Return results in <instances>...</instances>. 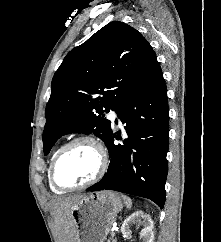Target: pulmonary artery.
<instances>
[{
	"instance_id": "1",
	"label": "pulmonary artery",
	"mask_w": 221,
	"mask_h": 242,
	"mask_svg": "<svg viewBox=\"0 0 221 242\" xmlns=\"http://www.w3.org/2000/svg\"><path fill=\"white\" fill-rule=\"evenodd\" d=\"M109 116L112 120L118 119V115L115 111H111Z\"/></svg>"
}]
</instances>
